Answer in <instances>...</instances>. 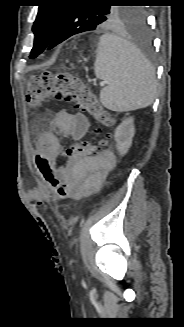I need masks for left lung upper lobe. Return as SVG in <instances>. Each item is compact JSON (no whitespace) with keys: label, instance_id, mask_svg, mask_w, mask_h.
<instances>
[{"label":"left lung upper lobe","instance_id":"left-lung-upper-lobe-1","mask_svg":"<svg viewBox=\"0 0 184 327\" xmlns=\"http://www.w3.org/2000/svg\"><path fill=\"white\" fill-rule=\"evenodd\" d=\"M49 0L39 6L33 25L34 46L30 58H36L48 47L62 24L66 30L85 32L104 26L135 27L144 20L143 11L136 6H111L112 3H131L132 0H103L97 5L85 6L82 0Z\"/></svg>","mask_w":184,"mask_h":327}]
</instances>
